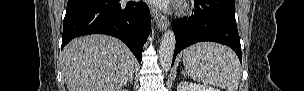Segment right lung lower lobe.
Segmentation results:
<instances>
[{
    "label": "right lung lower lobe",
    "mask_w": 304,
    "mask_h": 91,
    "mask_svg": "<svg viewBox=\"0 0 304 91\" xmlns=\"http://www.w3.org/2000/svg\"><path fill=\"white\" fill-rule=\"evenodd\" d=\"M150 26V11L142 1L68 0L62 48L81 35L108 34L123 41L140 62Z\"/></svg>",
    "instance_id": "1"
}]
</instances>
